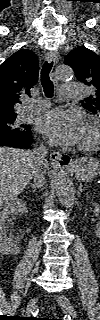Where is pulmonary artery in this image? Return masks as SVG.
I'll list each match as a JSON object with an SVG mask.
<instances>
[{
	"instance_id": "obj_1",
	"label": "pulmonary artery",
	"mask_w": 100,
	"mask_h": 320,
	"mask_svg": "<svg viewBox=\"0 0 100 320\" xmlns=\"http://www.w3.org/2000/svg\"><path fill=\"white\" fill-rule=\"evenodd\" d=\"M78 84H64L59 88V99L62 101H71L79 93ZM50 106L48 100L37 99L25 105L26 114H34L47 109Z\"/></svg>"
}]
</instances>
